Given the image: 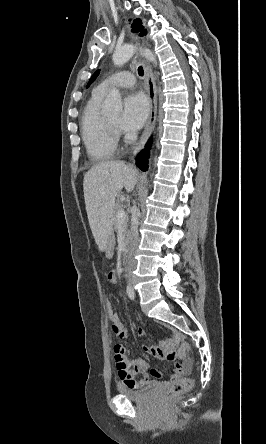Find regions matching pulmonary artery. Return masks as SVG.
Returning a JSON list of instances; mask_svg holds the SVG:
<instances>
[{"label": "pulmonary artery", "mask_w": 266, "mask_h": 444, "mask_svg": "<svg viewBox=\"0 0 266 444\" xmlns=\"http://www.w3.org/2000/svg\"><path fill=\"white\" fill-rule=\"evenodd\" d=\"M135 83L133 74L127 71L118 72L104 79L94 90L96 93L106 94L113 87H132Z\"/></svg>", "instance_id": "e3ab8cb5"}]
</instances>
